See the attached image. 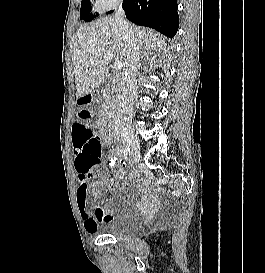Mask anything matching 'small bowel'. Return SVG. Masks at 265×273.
<instances>
[{"label": "small bowel", "instance_id": "c3829d8e", "mask_svg": "<svg viewBox=\"0 0 265 273\" xmlns=\"http://www.w3.org/2000/svg\"><path fill=\"white\" fill-rule=\"evenodd\" d=\"M92 101L83 96L78 100L77 121L72 126V146L74 155V168L77 177L76 200L77 206L84 222L85 230L89 234H95L99 230L100 225L112 218L111 212L104 203L99 191V185H107L109 183H117L116 179L107 176H101L96 183L90 184L92 170H83L80 167V159L83 150L78 149L76 141L78 138V129H89V124H84L91 118ZM122 168L120 177L125 174L128 167V161L125 158L120 159ZM93 202V207L91 206Z\"/></svg>", "mask_w": 265, "mask_h": 273}]
</instances>
